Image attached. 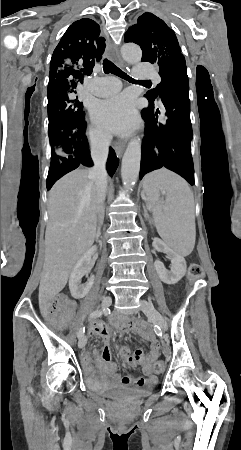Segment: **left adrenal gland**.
Masks as SVG:
<instances>
[{"mask_svg": "<svg viewBox=\"0 0 241 450\" xmlns=\"http://www.w3.org/2000/svg\"><path fill=\"white\" fill-rule=\"evenodd\" d=\"M143 210H144V216H145V218H148L149 224H151V220H150V218H149V216H148V214H147V210H146L145 206H143Z\"/></svg>", "mask_w": 241, "mask_h": 450, "instance_id": "a2214340", "label": "left adrenal gland"}]
</instances>
